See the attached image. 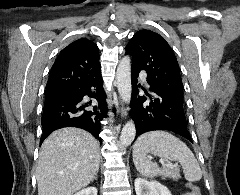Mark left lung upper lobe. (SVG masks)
Masks as SVG:
<instances>
[{"mask_svg":"<svg viewBox=\"0 0 240 195\" xmlns=\"http://www.w3.org/2000/svg\"><path fill=\"white\" fill-rule=\"evenodd\" d=\"M125 49L132 58L131 69L146 71L149 84L158 85L166 93L183 100V83L177 59L161 35L140 30Z\"/></svg>","mask_w":240,"mask_h":195,"instance_id":"obj_1","label":"left lung upper lobe"}]
</instances>
